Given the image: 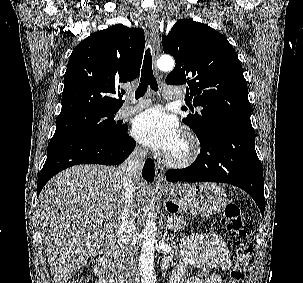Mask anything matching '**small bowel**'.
Instances as JSON below:
<instances>
[{"mask_svg": "<svg viewBox=\"0 0 303 283\" xmlns=\"http://www.w3.org/2000/svg\"><path fill=\"white\" fill-rule=\"evenodd\" d=\"M193 265L203 272V278H189L185 283H222L220 271L227 270L230 265L229 250L225 240L217 234H193L183 238L181 256L173 270L170 283H179L185 269ZM211 270L217 271L210 273ZM99 276L97 283H110L108 273L96 267Z\"/></svg>", "mask_w": 303, "mask_h": 283, "instance_id": "obj_1", "label": "small bowel"}]
</instances>
